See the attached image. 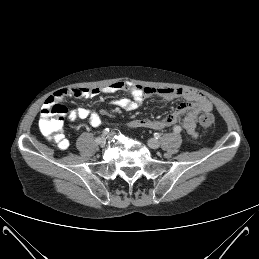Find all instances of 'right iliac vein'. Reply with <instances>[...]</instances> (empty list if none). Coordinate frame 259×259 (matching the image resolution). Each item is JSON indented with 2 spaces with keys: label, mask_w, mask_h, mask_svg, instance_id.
<instances>
[{
  "label": "right iliac vein",
  "mask_w": 259,
  "mask_h": 259,
  "mask_svg": "<svg viewBox=\"0 0 259 259\" xmlns=\"http://www.w3.org/2000/svg\"><path fill=\"white\" fill-rule=\"evenodd\" d=\"M100 141H96L100 146H104L106 144V138L105 137H100Z\"/></svg>",
  "instance_id": "63e3f726"
}]
</instances>
